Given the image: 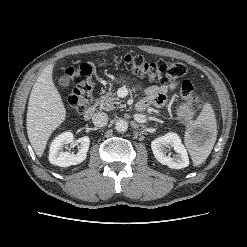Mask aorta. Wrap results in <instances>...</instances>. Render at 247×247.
Listing matches in <instances>:
<instances>
[{"mask_svg":"<svg viewBox=\"0 0 247 247\" xmlns=\"http://www.w3.org/2000/svg\"><path fill=\"white\" fill-rule=\"evenodd\" d=\"M115 129L117 132H125L128 129V123L123 119H119L115 123Z\"/></svg>","mask_w":247,"mask_h":247,"instance_id":"obj_1","label":"aorta"}]
</instances>
